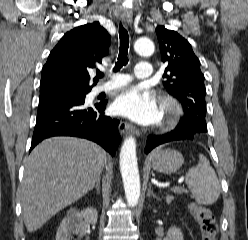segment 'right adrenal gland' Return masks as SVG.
<instances>
[{
    "mask_svg": "<svg viewBox=\"0 0 248 240\" xmlns=\"http://www.w3.org/2000/svg\"><path fill=\"white\" fill-rule=\"evenodd\" d=\"M94 188H96L97 193H100V179H98V181H97L96 184L94 185Z\"/></svg>",
    "mask_w": 248,
    "mask_h": 240,
    "instance_id": "1",
    "label": "right adrenal gland"
}]
</instances>
